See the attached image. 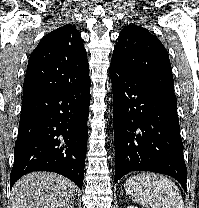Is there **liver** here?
Here are the masks:
<instances>
[{"mask_svg":"<svg viewBox=\"0 0 199 208\" xmlns=\"http://www.w3.org/2000/svg\"><path fill=\"white\" fill-rule=\"evenodd\" d=\"M75 192V184L62 175L33 172L13 186L11 208H66Z\"/></svg>","mask_w":199,"mask_h":208,"instance_id":"liver-1","label":"liver"}]
</instances>
